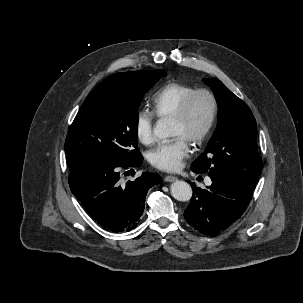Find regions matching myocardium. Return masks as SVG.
I'll use <instances>...</instances> for the list:
<instances>
[{"instance_id": "f54148a6", "label": "myocardium", "mask_w": 303, "mask_h": 303, "mask_svg": "<svg viewBox=\"0 0 303 303\" xmlns=\"http://www.w3.org/2000/svg\"><path fill=\"white\" fill-rule=\"evenodd\" d=\"M199 95H205L210 100L211 110L208 120L202 131L192 140L195 145H201L209 136L218 114V101L214 93L206 88L195 89L182 102L177 112L171 118L174 121L183 122L186 120L194 100Z\"/></svg>"}]
</instances>
